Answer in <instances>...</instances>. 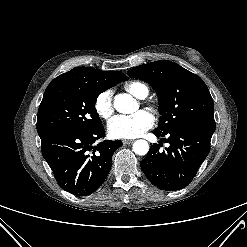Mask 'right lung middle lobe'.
Wrapping results in <instances>:
<instances>
[{
  "mask_svg": "<svg viewBox=\"0 0 247 247\" xmlns=\"http://www.w3.org/2000/svg\"><path fill=\"white\" fill-rule=\"evenodd\" d=\"M100 83L69 81L46 89L37 116L41 139L68 131H90L102 125L95 109Z\"/></svg>",
  "mask_w": 247,
  "mask_h": 247,
  "instance_id": "right-lung-middle-lobe-1",
  "label": "right lung middle lobe"
}]
</instances>
